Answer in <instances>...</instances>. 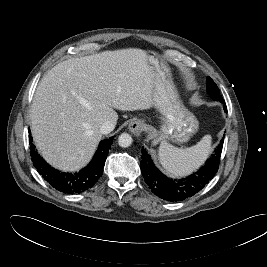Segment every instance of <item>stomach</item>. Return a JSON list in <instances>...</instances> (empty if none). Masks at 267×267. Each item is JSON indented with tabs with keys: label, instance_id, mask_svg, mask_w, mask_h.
Instances as JSON below:
<instances>
[{
	"label": "stomach",
	"instance_id": "stomach-1",
	"mask_svg": "<svg viewBox=\"0 0 267 267\" xmlns=\"http://www.w3.org/2000/svg\"><path fill=\"white\" fill-rule=\"evenodd\" d=\"M153 74L152 104L162 114L163 124L155 134L154 140L187 142L199 123L184 106L173 82L169 64L154 52H145Z\"/></svg>",
	"mask_w": 267,
	"mask_h": 267
}]
</instances>
